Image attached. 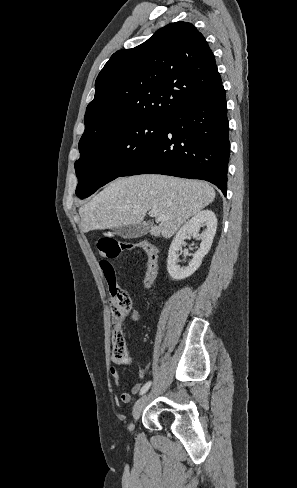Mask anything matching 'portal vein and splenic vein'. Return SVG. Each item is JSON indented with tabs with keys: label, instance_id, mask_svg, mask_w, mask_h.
<instances>
[{
	"label": "portal vein and splenic vein",
	"instance_id": "obj_1",
	"mask_svg": "<svg viewBox=\"0 0 297 488\" xmlns=\"http://www.w3.org/2000/svg\"><path fill=\"white\" fill-rule=\"evenodd\" d=\"M149 215H150L151 217H155L157 220H163V219H165V216H164V215L159 214V213H158L157 211H155V210H151V211H149Z\"/></svg>",
	"mask_w": 297,
	"mask_h": 488
}]
</instances>
